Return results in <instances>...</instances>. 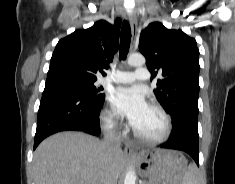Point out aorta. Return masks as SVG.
<instances>
[{
    "label": "aorta",
    "instance_id": "obj_1",
    "mask_svg": "<svg viewBox=\"0 0 235 184\" xmlns=\"http://www.w3.org/2000/svg\"><path fill=\"white\" fill-rule=\"evenodd\" d=\"M129 66H137V68H142L144 66L146 60L144 56H141V54H131L127 60ZM136 182V174L135 172H127L125 176V182L124 184H135Z\"/></svg>",
    "mask_w": 235,
    "mask_h": 184
}]
</instances>
